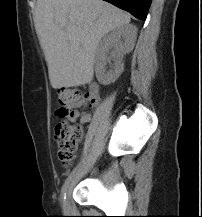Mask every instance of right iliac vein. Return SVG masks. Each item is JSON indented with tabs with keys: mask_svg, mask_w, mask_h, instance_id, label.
Returning a JSON list of instances; mask_svg holds the SVG:
<instances>
[{
	"mask_svg": "<svg viewBox=\"0 0 202 217\" xmlns=\"http://www.w3.org/2000/svg\"><path fill=\"white\" fill-rule=\"evenodd\" d=\"M62 207H63L64 212H66L68 210V192H67L66 198L63 201Z\"/></svg>",
	"mask_w": 202,
	"mask_h": 217,
	"instance_id": "obj_1",
	"label": "right iliac vein"
}]
</instances>
